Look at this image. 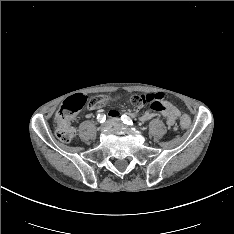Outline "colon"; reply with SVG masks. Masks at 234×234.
<instances>
[{"instance_id": "colon-1", "label": "colon", "mask_w": 234, "mask_h": 234, "mask_svg": "<svg viewBox=\"0 0 234 234\" xmlns=\"http://www.w3.org/2000/svg\"><path fill=\"white\" fill-rule=\"evenodd\" d=\"M164 100L163 93L154 94H136L130 99L131 103L136 107H142L144 105H149L153 109H159ZM87 102L86 96L82 94H77L67 98L60 106L56 113V135L58 139L64 143L71 142L76 131L71 126V122L75 115L84 107ZM102 105L99 97L90 100V106L94 109L99 108ZM190 124V119L188 116H183L180 122L181 127L186 128Z\"/></svg>"}]
</instances>
